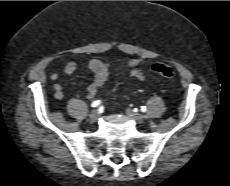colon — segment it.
Wrapping results in <instances>:
<instances>
[{"label":"colon","instance_id":"5ec220e1","mask_svg":"<svg viewBox=\"0 0 230 186\" xmlns=\"http://www.w3.org/2000/svg\"><path fill=\"white\" fill-rule=\"evenodd\" d=\"M151 70L162 76V77H165V78H173L174 77V70L172 69V67H170L169 65H166V64H162V63H156V64H153L151 66Z\"/></svg>","mask_w":230,"mask_h":186}]
</instances>
